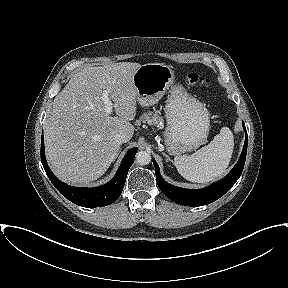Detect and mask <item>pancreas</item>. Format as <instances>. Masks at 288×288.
I'll use <instances>...</instances> for the list:
<instances>
[{
  "instance_id": "pancreas-1",
  "label": "pancreas",
  "mask_w": 288,
  "mask_h": 288,
  "mask_svg": "<svg viewBox=\"0 0 288 288\" xmlns=\"http://www.w3.org/2000/svg\"><path fill=\"white\" fill-rule=\"evenodd\" d=\"M141 121L144 123L147 122L149 125H160L159 123L163 121V119L157 114L152 115V112H148L141 116L140 120L137 121V124H140Z\"/></svg>"
}]
</instances>
